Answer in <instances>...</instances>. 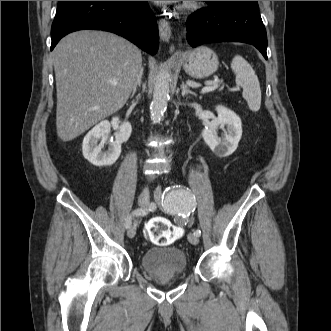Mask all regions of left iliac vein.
Masks as SVG:
<instances>
[{
    "instance_id": "left-iliac-vein-1",
    "label": "left iliac vein",
    "mask_w": 331,
    "mask_h": 331,
    "mask_svg": "<svg viewBox=\"0 0 331 331\" xmlns=\"http://www.w3.org/2000/svg\"><path fill=\"white\" fill-rule=\"evenodd\" d=\"M188 241L193 245H197L199 243V238L194 233H189Z\"/></svg>"
}]
</instances>
